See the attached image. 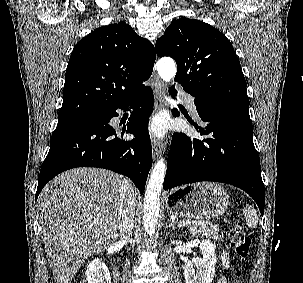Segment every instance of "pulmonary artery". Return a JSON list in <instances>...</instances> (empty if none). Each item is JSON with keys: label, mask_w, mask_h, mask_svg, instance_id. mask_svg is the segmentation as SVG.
Segmentation results:
<instances>
[{"label": "pulmonary artery", "mask_w": 303, "mask_h": 283, "mask_svg": "<svg viewBox=\"0 0 303 283\" xmlns=\"http://www.w3.org/2000/svg\"><path fill=\"white\" fill-rule=\"evenodd\" d=\"M179 97L185 102L188 109L196 116L198 117L194 97L184 91H180L178 93Z\"/></svg>", "instance_id": "1"}]
</instances>
